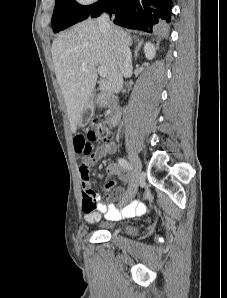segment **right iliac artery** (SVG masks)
Instances as JSON below:
<instances>
[{"label": "right iliac artery", "instance_id": "1", "mask_svg": "<svg viewBox=\"0 0 227 298\" xmlns=\"http://www.w3.org/2000/svg\"><path fill=\"white\" fill-rule=\"evenodd\" d=\"M118 162H119L120 166L126 170L131 171L133 169L132 165L129 162H127L124 158L118 159Z\"/></svg>", "mask_w": 227, "mask_h": 298}]
</instances>
